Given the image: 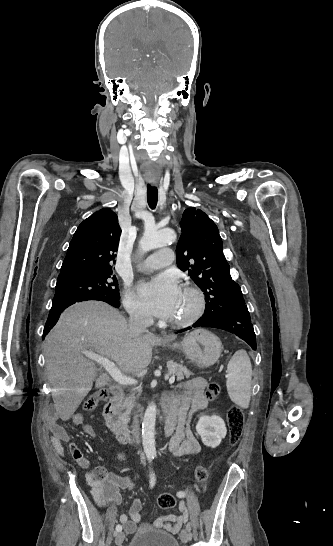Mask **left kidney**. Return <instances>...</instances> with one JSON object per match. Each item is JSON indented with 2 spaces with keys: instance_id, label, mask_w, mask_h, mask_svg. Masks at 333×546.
I'll use <instances>...</instances> for the list:
<instances>
[{
  "instance_id": "left-kidney-1",
  "label": "left kidney",
  "mask_w": 333,
  "mask_h": 546,
  "mask_svg": "<svg viewBox=\"0 0 333 546\" xmlns=\"http://www.w3.org/2000/svg\"><path fill=\"white\" fill-rule=\"evenodd\" d=\"M196 431L201 436L202 442L211 448L220 445L222 439L227 434L225 422L218 415H202L200 416Z\"/></svg>"
}]
</instances>
